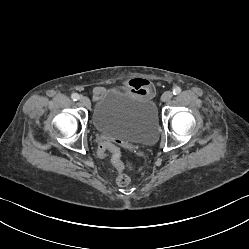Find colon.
<instances>
[{
	"label": "colon",
	"mask_w": 249,
	"mask_h": 249,
	"mask_svg": "<svg viewBox=\"0 0 249 249\" xmlns=\"http://www.w3.org/2000/svg\"><path fill=\"white\" fill-rule=\"evenodd\" d=\"M100 156H106L111 154L112 162L117 172L116 183L119 186H127L130 183V178L123 173L124 170L132 168L131 163H123L120 161V149L116 145H112L108 142H102L99 151Z\"/></svg>",
	"instance_id": "colon-1"
}]
</instances>
